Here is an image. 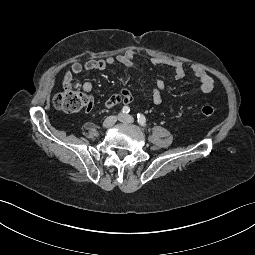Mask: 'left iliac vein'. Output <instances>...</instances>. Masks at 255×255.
I'll return each instance as SVG.
<instances>
[{
    "label": "left iliac vein",
    "mask_w": 255,
    "mask_h": 255,
    "mask_svg": "<svg viewBox=\"0 0 255 255\" xmlns=\"http://www.w3.org/2000/svg\"><path fill=\"white\" fill-rule=\"evenodd\" d=\"M119 120L123 123H133L134 118L131 115H121Z\"/></svg>",
    "instance_id": "1"
}]
</instances>
